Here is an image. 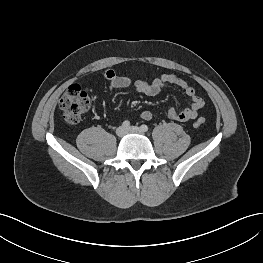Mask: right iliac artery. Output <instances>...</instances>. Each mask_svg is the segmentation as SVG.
<instances>
[{"label":"right iliac artery","instance_id":"right-iliac-artery-1","mask_svg":"<svg viewBox=\"0 0 263 263\" xmlns=\"http://www.w3.org/2000/svg\"><path fill=\"white\" fill-rule=\"evenodd\" d=\"M122 126L124 128H129L130 127V122L128 120H125L123 123H122Z\"/></svg>","mask_w":263,"mask_h":263}]
</instances>
